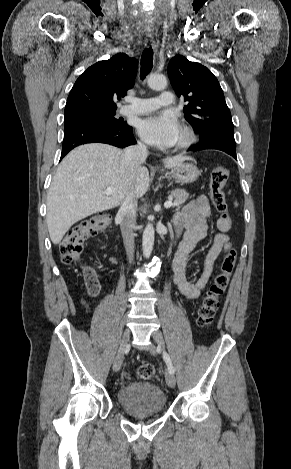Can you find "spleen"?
<instances>
[{"label":"spleen","instance_id":"obj_1","mask_svg":"<svg viewBox=\"0 0 291 469\" xmlns=\"http://www.w3.org/2000/svg\"><path fill=\"white\" fill-rule=\"evenodd\" d=\"M237 205H238L237 202H235V206H237Z\"/></svg>","mask_w":291,"mask_h":469}]
</instances>
